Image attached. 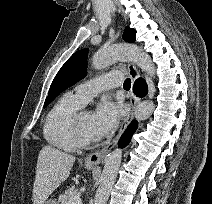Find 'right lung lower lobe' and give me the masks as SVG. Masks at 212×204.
Instances as JSON below:
<instances>
[{
    "instance_id": "98d812e1",
    "label": "right lung lower lobe",
    "mask_w": 212,
    "mask_h": 204,
    "mask_svg": "<svg viewBox=\"0 0 212 204\" xmlns=\"http://www.w3.org/2000/svg\"><path fill=\"white\" fill-rule=\"evenodd\" d=\"M148 87L146 82L140 78L134 84V92L139 97H144L147 94Z\"/></svg>"
}]
</instances>
